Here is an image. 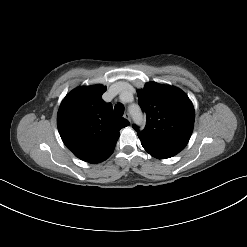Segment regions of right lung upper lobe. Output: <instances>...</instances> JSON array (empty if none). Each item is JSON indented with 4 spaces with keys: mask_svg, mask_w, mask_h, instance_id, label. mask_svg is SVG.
I'll return each instance as SVG.
<instances>
[{
    "mask_svg": "<svg viewBox=\"0 0 247 247\" xmlns=\"http://www.w3.org/2000/svg\"><path fill=\"white\" fill-rule=\"evenodd\" d=\"M106 87L82 86L61 102L57 126L66 147L79 159L100 163L113 153L120 129L129 125L114 115L112 105L102 100Z\"/></svg>",
    "mask_w": 247,
    "mask_h": 247,
    "instance_id": "right-lung-upper-lobe-1",
    "label": "right lung upper lobe"
}]
</instances>
